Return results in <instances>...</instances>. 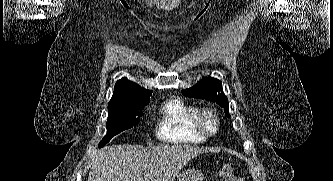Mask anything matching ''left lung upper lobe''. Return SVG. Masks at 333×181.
Wrapping results in <instances>:
<instances>
[{
	"label": "left lung upper lobe",
	"mask_w": 333,
	"mask_h": 181,
	"mask_svg": "<svg viewBox=\"0 0 333 181\" xmlns=\"http://www.w3.org/2000/svg\"><path fill=\"white\" fill-rule=\"evenodd\" d=\"M182 93L187 97L207 99L216 102L225 109L226 116L230 117L228 99L223 93L222 84L218 79L212 77L205 78L191 88L182 91Z\"/></svg>",
	"instance_id": "1"
}]
</instances>
